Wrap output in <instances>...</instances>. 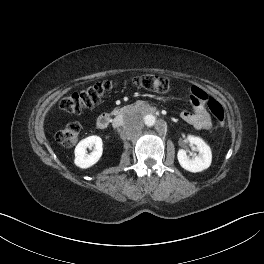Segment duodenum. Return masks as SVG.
Listing matches in <instances>:
<instances>
[{"instance_id": "obj_1", "label": "duodenum", "mask_w": 264, "mask_h": 264, "mask_svg": "<svg viewBox=\"0 0 264 264\" xmlns=\"http://www.w3.org/2000/svg\"><path fill=\"white\" fill-rule=\"evenodd\" d=\"M132 105H127L123 107L116 108L110 112L103 113L96 121V126L98 129H105L112 122L113 118L121 117L126 111L130 110ZM144 112L148 114H155L156 109L150 106H145L142 108Z\"/></svg>"}]
</instances>
